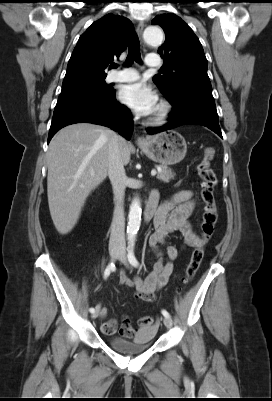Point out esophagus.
I'll list each match as a JSON object with an SVG mask.
<instances>
[{
    "label": "esophagus",
    "instance_id": "esophagus-1",
    "mask_svg": "<svg viewBox=\"0 0 272 401\" xmlns=\"http://www.w3.org/2000/svg\"><path fill=\"white\" fill-rule=\"evenodd\" d=\"M143 29H144V22L140 21L136 27V31H137V34L139 35V37L141 38V40H142ZM146 142H147V140L144 137L137 138L138 145L145 144Z\"/></svg>",
    "mask_w": 272,
    "mask_h": 401
}]
</instances>
